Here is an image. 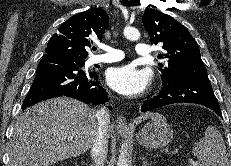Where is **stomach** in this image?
Segmentation results:
<instances>
[{
    "mask_svg": "<svg viewBox=\"0 0 231 166\" xmlns=\"http://www.w3.org/2000/svg\"><path fill=\"white\" fill-rule=\"evenodd\" d=\"M173 139V129L166 118L154 113L137 134L138 142L147 148L158 149L167 146Z\"/></svg>",
    "mask_w": 231,
    "mask_h": 166,
    "instance_id": "obj_1",
    "label": "stomach"
}]
</instances>
